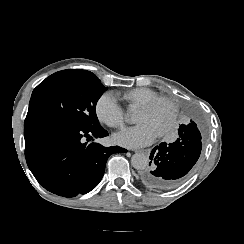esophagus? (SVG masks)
<instances>
[{
  "mask_svg": "<svg viewBox=\"0 0 244 244\" xmlns=\"http://www.w3.org/2000/svg\"><path fill=\"white\" fill-rule=\"evenodd\" d=\"M150 151H151V149L147 148V149L135 150V153H143L148 156L150 154Z\"/></svg>",
  "mask_w": 244,
  "mask_h": 244,
  "instance_id": "obj_1",
  "label": "esophagus"
}]
</instances>
